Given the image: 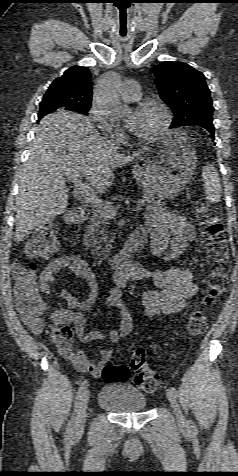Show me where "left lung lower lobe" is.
Listing matches in <instances>:
<instances>
[{
  "label": "left lung lower lobe",
  "mask_w": 238,
  "mask_h": 476,
  "mask_svg": "<svg viewBox=\"0 0 238 476\" xmlns=\"http://www.w3.org/2000/svg\"><path fill=\"white\" fill-rule=\"evenodd\" d=\"M202 127H204L206 130H208V131L210 132V134H211V138L214 139V126H206V125H204V126H202Z\"/></svg>",
  "instance_id": "0a47b994"
}]
</instances>
